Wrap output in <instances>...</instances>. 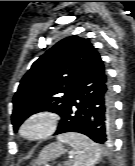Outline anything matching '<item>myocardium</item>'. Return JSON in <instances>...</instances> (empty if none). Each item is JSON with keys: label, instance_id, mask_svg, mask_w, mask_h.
I'll list each match as a JSON object with an SVG mask.
<instances>
[{"label": "myocardium", "instance_id": "f54148a6", "mask_svg": "<svg viewBox=\"0 0 135 166\" xmlns=\"http://www.w3.org/2000/svg\"><path fill=\"white\" fill-rule=\"evenodd\" d=\"M58 125V116L51 111H37L27 116L18 128V136L28 142L49 138Z\"/></svg>", "mask_w": 135, "mask_h": 166}]
</instances>
